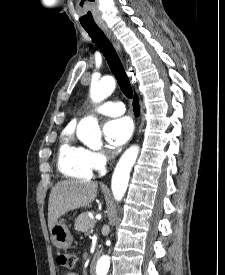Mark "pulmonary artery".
Returning a JSON list of instances; mask_svg holds the SVG:
<instances>
[{"instance_id":"obj_1","label":"pulmonary artery","mask_w":225,"mask_h":275,"mask_svg":"<svg viewBox=\"0 0 225 275\" xmlns=\"http://www.w3.org/2000/svg\"><path fill=\"white\" fill-rule=\"evenodd\" d=\"M94 113L108 116H118L125 112V106L122 102H104L93 109Z\"/></svg>"}]
</instances>
